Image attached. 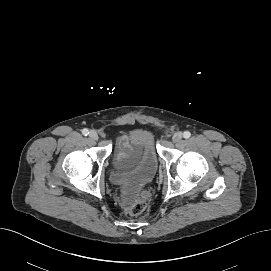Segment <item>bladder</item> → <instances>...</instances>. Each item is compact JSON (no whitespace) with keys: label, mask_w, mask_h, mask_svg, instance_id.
<instances>
[{"label":"bladder","mask_w":271,"mask_h":271,"mask_svg":"<svg viewBox=\"0 0 271 271\" xmlns=\"http://www.w3.org/2000/svg\"><path fill=\"white\" fill-rule=\"evenodd\" d=\"M131 138L138 145L139 155L132 167L122 172L114 168L112 181L122 195L124 202H130L134 196L155 176L158 160L150 135L145 130H137Z\"/></svg>","instance_id":"bladder-1"}]
</instances>
